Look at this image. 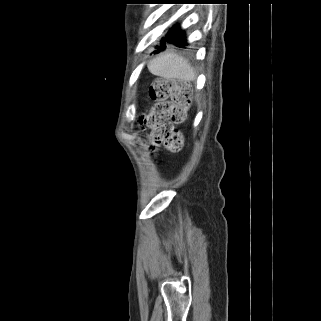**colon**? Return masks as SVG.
<instances>
[{
	"label": "colon",
	"instance_id": "1",
	"mask_svg": "<svg viewBox=\"0 0 321 321\" xmlns=\"http://www.w3.org/2000/svg\"><path fill=\"white\" fill-rule=\"evenodd\" d=\"M149 98L156 102L147 123L156 143L177 151L183 138L176 125L181 124L191 104V84L183 80L157 79L149 88Z\"/></svg>",
	"mask_w": 321,
	"mask_h": 321
}]
</instances>
